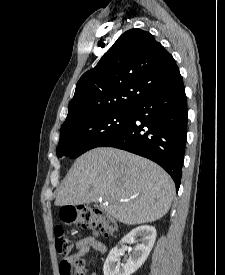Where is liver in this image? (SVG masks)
<instances>
[{"mask_svg": "<svg viewBox=\"0 0 225 275\" xmlns=\"http://www.w3.org/2000/svg\"><path fill=\"white\" fill-rule=\"evenodd\" d=\"M174 195L173 180L154 162L116 148H95L74 162L55 205L103 201L100 207L109 215L137 225L162 218Z\"/></svg>", "mask_w": 225, "mask_h": 275, "instance_id": "1", "label": "liver"}]
</instances>
